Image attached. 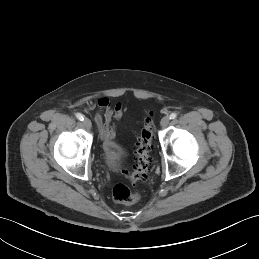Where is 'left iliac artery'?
<instances>
[{
    "label": "left iliac artery",
    "instance_id": "44dca946",
    "mask_svg": "<svg viewBox=\"0 0 259 259\" xmlns=\"http://www.w3.org/2000/svg\"><path fill=\"white\" fill-rule=\"evenodd\" d=\"M177 117V114L176 113H171L170 114V119H175Z\"/></svg>",
    "mask_w": 259,
    "mask_h": 259
}]
</instances>
